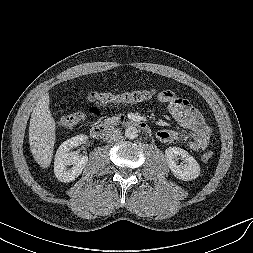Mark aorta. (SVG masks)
Returning a JSON list of instances; mask_svg holds the SVG:
<instances>
[{
    "instance_id": "obj_1",
    "label": "aorta",
    "mask_w": 253,
    "mask_h": 253,
    "mask_svg": "<svg viewBox=\"0 0 253 253\" xmlns=\"http://www.w3.org/2000/svg\"><path fill=\"white\" fill-rule=\"evenodd\" d=\"M137 136H138V130H137L136 127H134V126H128V127L125 129V137H126L127 139L132 140V139L137 138Z\"/></svg>"
}]
</instances>
